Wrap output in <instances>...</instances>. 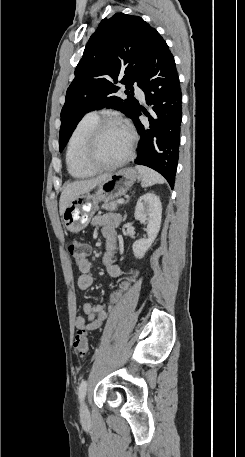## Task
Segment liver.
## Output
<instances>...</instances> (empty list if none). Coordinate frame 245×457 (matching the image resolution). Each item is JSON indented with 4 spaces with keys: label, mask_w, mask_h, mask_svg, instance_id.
Listing matches in <instances>:
<instances>
[{
    "label": "liver",
    "mask_w": 245,
    "mask_h": 457,
    "mask_svg": "<svg viewBox=\"0 0 245 457\" xmlns=\"http://www.w3.org/2000/svg\"><path fill=\"white\" fill-rule=\"evenodd\" d=\"M107 176L110 174H102V176H97V178H90V180H75V182H70L65 186L61 196H60V214H63L67 204L77 198L79 194H83V192H89L92 188H95L97 184L106 180Z\"/></svg>",
    "instance_id": "1"
}]
</instances>
